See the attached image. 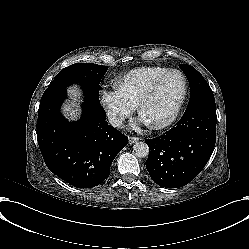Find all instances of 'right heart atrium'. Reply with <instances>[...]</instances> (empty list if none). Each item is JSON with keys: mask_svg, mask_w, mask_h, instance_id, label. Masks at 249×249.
Here are the masks:
<instances>
[{"mask_svg": "<svg viewBox=\"0 0 249 249\" xmlns=\"http://www.w3.org/2000/svg\"><path fill=\"white\" fill-rule=\"evenodd\" d=\"M104 99L107 113L113 121H120L130 115L132 106L119 95L111 93Z\"/></svg>", "mask_w": 249, "mask_h": 249, "instance_id": "obj_1", "label": "right heart atrium"}]
</instances>
